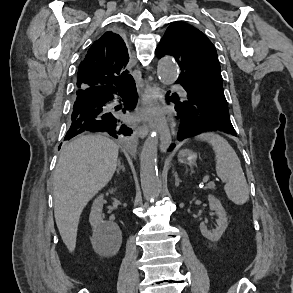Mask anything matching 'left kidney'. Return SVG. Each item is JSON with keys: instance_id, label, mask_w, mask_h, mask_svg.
I'll return each instance as SVG.
<instances>
[{"instance_id": "1", "label": "left kidney", "mask_w": 293, "mask_h": 293, "mask_svg": "<svg viewBox=\"0 0 293 293\" xmlns=\"http://www.w3.org/2000/svg\"><path fill=\"white\" fill-rule=\"evenodd\" d=\"M209 208L211 211H214L217 216V225L215 229L209 230L205 224L202 222L199 226L201 234L208 240L212 242L218 241L222 234L225 232L228 227V218L225 209L223 208L221 202L214 196L208 195Z\"/></svg>"}]
</instances>
